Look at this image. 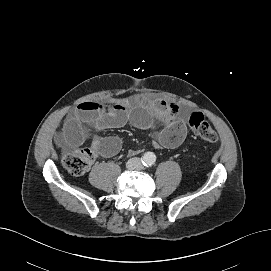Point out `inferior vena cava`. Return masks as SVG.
I'll use <instances>...</instances> for the list:
<instances>
[{
	"label": "inferior vena cava",
	"instance_id": "obj_1",
	"mask_svg": "<svg viewBox=\"0 0 271 271\" xmlns=\"http://www.w3.org/2000/svg\"><path fill=\"white\" fill-rule=\"evenodd\" d=\"M127 167L129 169H140L142 167L140 158H131L127 162Z\"/></svg>",
	"mask_w": 271,
	"mask_h": 271
}]
</instances>
